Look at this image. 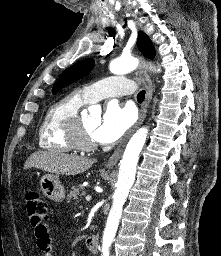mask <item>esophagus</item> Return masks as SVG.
Instances as JSON below:
<instances>
[{
  "label": "esophagus",
  "mask_w": 221,
  "mask_h": 256,
  "mask_svg": "<svg viewBox=\"0 0 221 256\" xmlns=\"http://www.w3.org/2000/svg\"><path fill=\"white\" fill-rule=\"evenodd\" d=\"M139 76H140V79H141L145 89H146L145 100L141 106L139 119H138L137 123L135 124V126L127 133V135L125 136L123 141L119 144V146L114 151V153L107 160L106 166H108V167L114 166L119 161V159L121 158V155L123 153V150H124L127 140L129 139L131 134L143 123V121L146 117L147 109H148V106L152 99L153 84H152L150 76L148 75L146 70L141 69L139 71Z\"/></svg>",
  "instance_id": "esophagus-1"
}]
</instances>
